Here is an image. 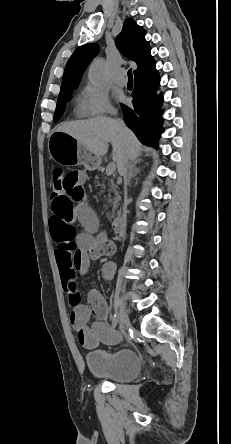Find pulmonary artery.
Instances as JSON below:
<instances>
[{"mask_svg":"<svg viewBox=\"0 0 231 444\" xmlns=\"http://www.w3.org/2000/svg\"><path fill=\"white\" fill-rule=\"evenodd\" d=\"M114 82L118 86H125L127 83V80L125 78V71L124 70H118L114 75Z\"/></svg>","mask_w":231,"mask_h":444,"instance_id":"pulmonary-artery-1","label":"pulmonary artery"}]
</instances>
